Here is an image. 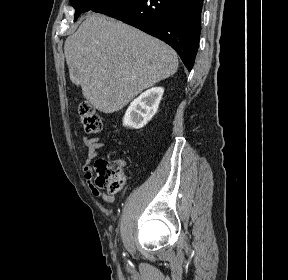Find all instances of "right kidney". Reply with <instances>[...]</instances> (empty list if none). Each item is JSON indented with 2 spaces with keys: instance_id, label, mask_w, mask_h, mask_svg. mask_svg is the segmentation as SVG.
<instances>
[{
  "instance_id": "right-kidney-1",
  "label": "right kidney",
  "mask_w": 288,
  "mask_h": 280,
  "mask_svg": "<svg viewBox=\"0 0 288 280\" xmlns=\"http://www.w3.org/2000/svg\"><path fill=\"white\" fill-rule=\"evenodd\" d=\"M163 93L162 87H154L134 99L124 115L123 125L135 129L144 127L157 112Z\"/></svg>"
}]
</instances>
